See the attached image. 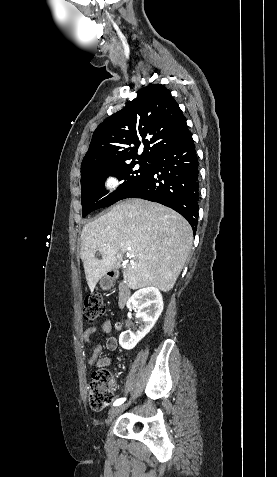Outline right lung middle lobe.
Instances as JSON below:
<instances>
[{
    "label": "right lung middle lobe",
    "mask_w": 277,
    "mask_h": 477,
    "mask_svg": "<svg viewBox=\"0 0 277 477\" xmlns=\"http://www.w3.org/2000/svg\"><path fill=\"white\" fill-rule=\"evenodd\" d=\"M139 165V166H136ZM149 160L132 161L103 168H87L81 171V197L83 217L91 211L106 207L124 198L136 188L150 171ZM116 176L124 182L112 194L106 196L104 181L108 176Z\"/></svg>",
    "instance_id": "1"
}]
</instances>
